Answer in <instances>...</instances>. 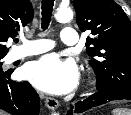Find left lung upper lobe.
<instances>
[{"instance_id":"obj_1","label":"left lung upper lobe","mask_w":131,"mask_h":115,"mask_svg":"<svg viewBox=\"0 0 131 115\" xmlns=\"http://www.w3.org/2000/svg\"><path fill=\"white\" fill-rule=\"evenodd\" d=\"M74 7L80 30L92 34L86 50L97 89L131 92V21L123 9L113 0H74Z\"/></svg>"}]
</instances>
